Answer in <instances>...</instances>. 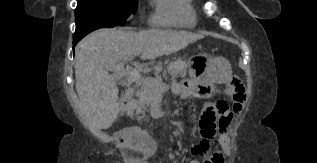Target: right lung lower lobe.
<instances>
[{
	"label": "right lung lower lobe",
	"mask_w": 317,
	"mask_h": 163,
	"mask_svg": "<svg viewBox=\"0 0 317 163\" xmlns=\"http://www.w3.org/2000/svg\"><path fill=\"white\" fill-rule=\"evenodd\" d=\"M82 39V38H81ZM80 38L79 39H75L74 41H73V49H74V47L76 46V44L78 43V41L79 40H81Z\"/></svg>",
	"instance_id": "right-lung-lower-lobe-1"
}]
</instances>
